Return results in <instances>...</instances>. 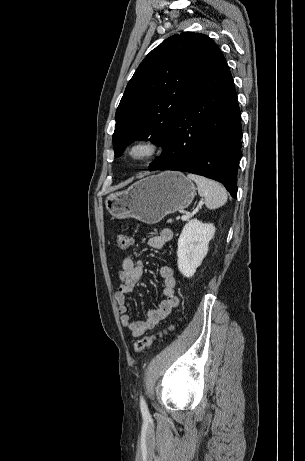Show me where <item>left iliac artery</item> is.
Masks as SVG:
<instances>
[{
	"label": "left iliac artery",
	"instance_id": "1",
	"mask_svg": "<svg viewBox=\"0 0 305 461\" xmlns=\"http://www.w3.org/2000/svg\"><path fill=\"white\" fill-rule=\"evenodd\" d=\"M140 409H141V412H142L143 416L149 415L148 407H147V404H146L143 396H140Z\"/></svg>",
	"mask_w": 305,
	"mask_h": 461
}]
</instances>
